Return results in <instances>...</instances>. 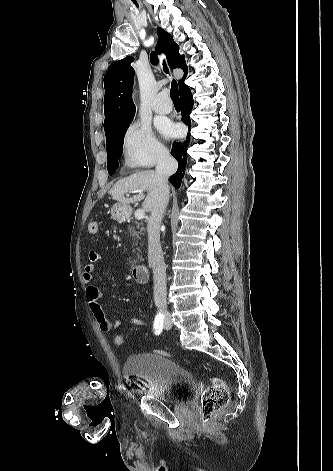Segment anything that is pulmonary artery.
Instances as JSON below:
<instances>
[{
  "instance_id": "e3ab8cb5",
  "label": "pulmonary artery",
  "mask_w": 333,
  "mask_h": 471,
  "mask_svg": "<svg viewBox=\"0 0 333 471\" xmlns=\"http://www.w3.org/2000/svg\"><path fill=\"white\" fill-rule=\"evenodd\" d=\"M153 109L160 114H167L172 111L173 105L165 92H161L155 97Z\"/></svg>"
}]
</instances>
